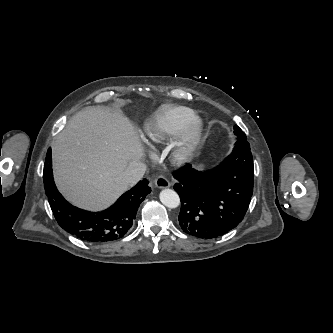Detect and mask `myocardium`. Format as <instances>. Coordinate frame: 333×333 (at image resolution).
Segmentation results:
<instances>
[{"label": "myocardium", "mask_w": 333, "mask_h": 333, "mask_svg": "<svg viewBox=\"0 0 333 333\" xmlns=\"http://www.w3.org/2000/svg\"><path fill=\"white\" fill-rule=\"evenodd\" d=\"M204 130L203 120L195 116L180 131L174 144L173 159L183 164L193 155L201 142Z\"/></svg>", "instance_id": "f54148a6"}]
</instances>
